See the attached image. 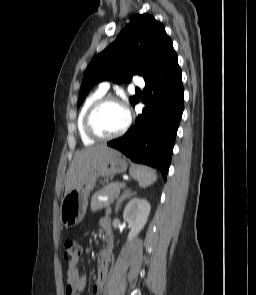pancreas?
I'll use <instances>...</instances> for the list:
<instances>
[{"instance_id":"obj_1","label":"pancreas","mask_w":256,"mask_h":295,"mask_svg":"<svg viewBox=\"0 0 256 295\" xmlns=\"http://www.w3.org/2000/svg\"><path fill=\"white\" fill-rule=\"evenodd\" d=\"M123 187H125L123 186V183L114 182L95 192L91 198V210L93 212H96L103 208L109 207L110 204L114 201V199L118 197L120 189ZM98 196H108L109 199L107 201H101L98 199Z\"/></svg>"}]
</instances>
